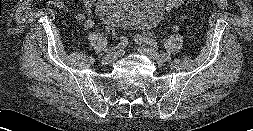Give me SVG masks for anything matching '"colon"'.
<instances>
[{
    "instance_id": "obj_1",
    "label": "colon",
    "mask_w": 253,
    "mask_h": 131,
    "mask_svg": "<svg viewBox=\"0 0 253 131\" xmlns=\"http://www.w3.org/2000/svg\"><path fill=\"white\" fill-rule=\"evenodd\" d=\"M167 8L169 10L178 9L183 3H186V0H166ZM213 7L221 10L229 9L228 0H214ZM107 33L111 36H115L116 30L113 26H105Z\"/></svg>"
}]
</instances>
